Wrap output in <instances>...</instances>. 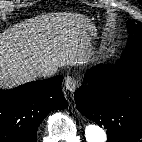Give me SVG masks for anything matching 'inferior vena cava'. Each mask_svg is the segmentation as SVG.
I'll list each match as a JSON object with an SVG mask.
<instances>
[{
    "instance_id": "obj_1",
    "label": "inferior vena cava",
    "mask_w": 142,
    "mask_h": 142,
    "mask_svg": "<svg viewBox=\"0 0 142 142\" xmlns=\"http://www.w3.org/2000/svg\"><path fill=\"white\" fill-rule=\"evenodd\" d=\"M57 72V67L54 65H42L35 70L37 77H50Z\"/></svg>"
}]
</instances>
